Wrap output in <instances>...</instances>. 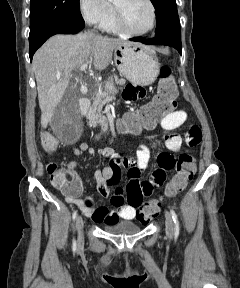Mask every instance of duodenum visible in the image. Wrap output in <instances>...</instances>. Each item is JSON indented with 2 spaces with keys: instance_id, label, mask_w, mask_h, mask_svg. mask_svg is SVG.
<instances>
[{
  "instance_id": "1",
  "label": "duodenum",
  "mask_w": 240,
  "mask_h": 288,
  "mask_svg": "<svg viewBox=\"0 0 240 288\" xmlns=\"http://www.w3.org/2000/svg\"><path fill=\"white\" fill-rule=\"evenodd\" d=\"M89 107H90V102L88 99L83 98L80 100V110L82 113L87 114L89 112ZM100 124L102 125L104 129H106L107 124H108L106 118L100 119Z\"/></svg>"
}]
</instances>
